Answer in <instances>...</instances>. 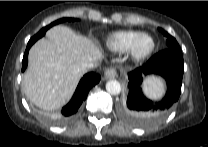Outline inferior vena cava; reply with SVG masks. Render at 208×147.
<instances>
[{"instance_id": "602c4592", "label": "inferior vena cava", "mask_w": 208, "mask_h": 147, "mask_svg": "<svg viewBox=\"0 0 208 147\" xmlns=\"http://www.w3.org/2000/svg\"><path fill=\"white\" fill-rule=\"evenodd\" d=\"M97 66H98V62L96 61H92V62L85 64L86 69H93V68H96Z\"/></svg>"}]
</instances>
